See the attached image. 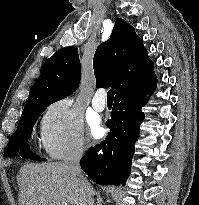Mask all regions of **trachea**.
<instances>
[{"label":"trachea","mask_w":199,"mask_h":205,"mask_svg":"<svg viewBox=\"0 0 199 205\" xmlns=\"http://www.w3.org/2000/svg\"><path fill=\"white\" fill-rule=\"evenodd\" d=\"M114 94H115V92H114L113 89L109 90L108 93H107V100H113L114 99Z\"/></svg>","instance_id":"obj_1"}]
</instances>
